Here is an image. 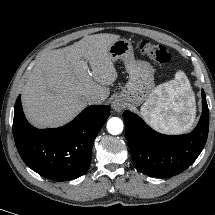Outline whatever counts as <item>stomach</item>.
<instances>
[{
    "instance_id": "1",
    "label": "stomach",
    "mask_w": 215,
    "mask_h": 215,
    "mask_svg": "<svg viewBox=\"0 0 215 215\" xmlns=\"http://www.w3.org/2000/svg\"><path fill=\"white\" fill-rule=\"evenodd\" d=\"M113 61L123 60L129 80L119 97L130 106H138L153 95L154 69L150 63L134 57L133 46L126 39H118L109 47Z\"/></svg>"
}]
</instances>
